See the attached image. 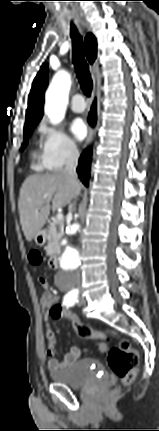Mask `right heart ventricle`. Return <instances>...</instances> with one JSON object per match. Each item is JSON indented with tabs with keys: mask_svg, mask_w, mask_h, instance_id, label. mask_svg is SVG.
<instances>
[{
	"mask_svg": "<svg viewBox=\"0 0 159 431\" xmlns=\"http://www.w3.org/2000/svg\"><path fill=\"white\" fill-rule=\"evenodd\" d=\"M32 159H33V161H32V167L35 170L41 171V170H43V168H45L43 166L42 162H41L40 157H38L36 153L32 154Z\"/></svg>",
	"mask_w": 159,
	"mask_h": 431,
	"instance_id": "right-heart-ventricle-1",
	"label": "right heart ventricle"
}]
</instances>
